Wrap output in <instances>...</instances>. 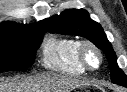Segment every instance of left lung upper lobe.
I'll return each mask as SVG.
<instances>
[{
  "mask_svg": "<svg viewBox=\"0 0 127 92\" xmlns=\"http://www.w3.org/2000/svg\"><path fill=\"white\" fill-rule=\"evenodd\" d=\"M49 31L65 35H78L87 38L107 56L111 70V80L114 84L127 87V77L119 69L116 55L102 27L90 19L89 14L83 9H70L60 15H54L49 20Z\"/></svg>",
  "mask_w": 127,
  "mask_h": 92,
  "instance_id": "obj_1",
  "label": "left lung upper lobe"
}]
</instances>
